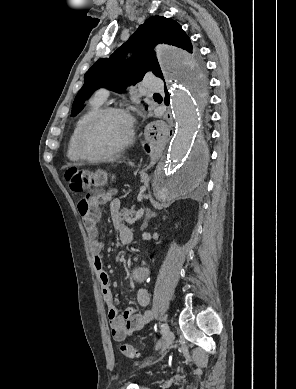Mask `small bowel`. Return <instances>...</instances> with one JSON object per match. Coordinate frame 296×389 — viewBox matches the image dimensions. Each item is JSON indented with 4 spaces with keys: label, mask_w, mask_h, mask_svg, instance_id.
<instances>
[{
    "label": "small bowel",
    "mask_w": 296,
    "mask_h": 389,
    "mask_svg": "<svg viewBox=\"0 0 296 389\" xmlns=\"http://www.w3.org/2000/svg\"><path fill=\"white\" fill-rule=\"evenodd\" d=\"M115 194V190H93L79 201L78 211L90 240V248L93 253V262L100 282L101 293L108 306V320L111 336L115 341L121 342L128 335L141 330L143 326L151 320L152 315L150 311L139 313L133 306L128 307L122 314H119L110 288L109 275L103 269L101 254L104 250V243L98 237L97 228L102 205L110 202L109 209L112 222L118 231L122 242H130L132 240V232L130 229L120 222L119 209L121 203L118 198H115ZM136 300L139 306H148L150 303V294L148 290L140 288L137 291Z\"/></svg>",
    "instance_id": "obj_1"
}]
</instances>
